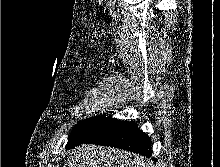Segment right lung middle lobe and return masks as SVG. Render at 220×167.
Here are the masks:
<instances>
[{"mask_svg":"<svg viewBox=\"0 0 220 167\" xmlns=\"http://www.w3.org/2000/svg\"><path fill=\"white\" fill-rule=\"evenodd\" d=\"M105 118V116H96L78 123L69 136L66 149L82 144Z\"/></svg>","mask_w":220,"mask_h":167,"instance_id":"1","label":"right lung middle lobe"}]
</instances>
